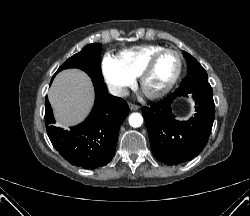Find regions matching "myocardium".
Here are the masks:
<instances>
[{
	"label": "myocardium",
	"instance_id": "1",
	"mask_svg": "<svg viewBox=\"0 0 250 216\" xmlns=\"http://www.w3.org/2000/svg\"><path fill=\"white\" fill-rule=\"evenodd\" d=\"M165 53H173L176 55L177 60H178L177 71H176L175 75L173 76L172 80L169 82V84L164 89H162L161 91H159L157 93H146L143 90L144 81H145L146 77L148 76V74L151 72L152 68L154 67L157 59ZM182 69H183V59H182L180 52L177 51L176 49H173V48H163V49L157 51L156 53H154L149 58V60L146 62L144 67L142 68V70L138 76L139 77V85L148 98H150V99L162 98L165 95H167L173 89V87L176 85V83L178 82V80L181 76Z\"/></svg>",
	"mask_w": 250,
	"mask_h": 216
}]
</instances>
